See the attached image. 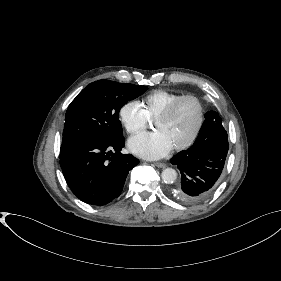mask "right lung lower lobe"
<instances>
[{
	"label": "right lung lower lobe",
	"mask_w": 281,
	"mask_h": 281,
	"mask_svg": "<svg viewBox=\"0 0 281 281\" xmlns=\"http://www.w3.org/2000/svg\"><path fill=\"white\" fill-rule=\"evenodd\" d=\"M124 137L104 142H81L60 151V165L71 191L83 202L105 205L118 197L129 171L139 163L120 153Z\"/></svg>",
	"instance_id": "obj_1"
}]
</instances>
